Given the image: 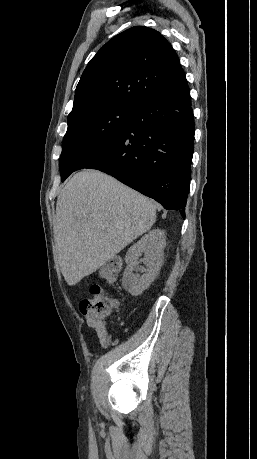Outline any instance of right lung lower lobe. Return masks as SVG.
Masks as SVG:
<instances>
[{
  "instance_id": "98d812e1",
  "label": "right lung lower lobe",
  "mask_w": 257,
  "mask_h": 459,
  "mask_svg": "<svg viewBox=\"0 0 257 459\" xmlns=\"http://www.w3.org/2000/svg\"><path fill=\"white\" fill-rule=\"evenodd\" d=\"M193 142L194 117L184 75L135 107L128 126L77 170L112 175L185 219Z\"/></svg>"
}]
</instances>
